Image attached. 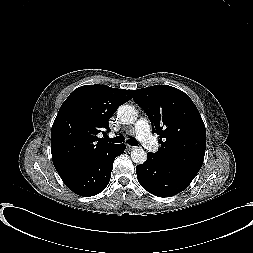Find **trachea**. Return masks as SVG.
Masks as SVG:
<instances>
[{
  "label": "trachea",
  "instance_id": "3493384b",
  "mask_svg": "<svg viewBox=\"0 0 253 253\" xmlns=\"http://www.w3.org/2000/svg\"><path fill=\"white\" fill-rule=\"evenodd\" d=\"M106 140L112 143H122L124 141L123 136H116L114 138L106 137ZM127 142L132 146H137L139 144L135 139H129Z\"/></svg>",
  "mask_w": 253,
  "mask_h": 253
}]
</instances>
